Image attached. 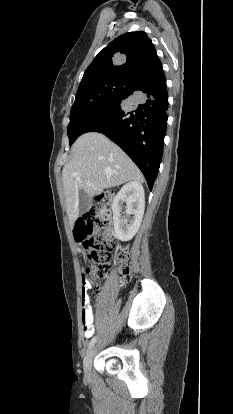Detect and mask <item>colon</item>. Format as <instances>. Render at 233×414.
Instances as JSON below:
<instances>
[{
	"instance_id": "colon-1",
	"label": "colon",
	"mask_w": 233,
	"mask_h": 414,
	"mask_svg": "<svg viewBox=\"0 0 233 414\" xmlns=\"http://www.w3.org/2000/svg\"><path fill=\"white\" fill-rule=\"evenodd\" d=\"M111 191H104L97 197L92 210L80 217L75 225V238L85 248L89 249L87 267L88 278H102L107 272L108 265L112 258V251L115 249L114 238L109 231L111 224V213L109 204L111 202ZM98 230V233H95ZM118 258L126 261L128 252L125 247H119ZM121 282L127 283L131 279V268L124 264L119 270Z\"/></svg>"
}]
</instances>
